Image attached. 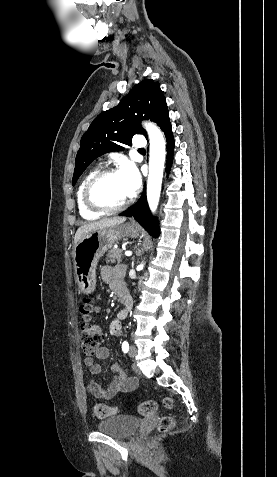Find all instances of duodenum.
Instances as JSON below:
<instances>
[{
  "label": "duodenum",
  "instance_id": "1",
  "mask_svg": "<svg viewBox=\"0 0 277 477\" xmlns=\"http://www.w3.org/2000/svg\"><path fill=\"white\" fill-rule=\"evenodd\" d=\"M121 304L125 307V311H129L132 307V299L126 292L119 293Z\"/></svg>",
  "mask_w": 277,
  "mask_h": 477
}]
</instances>
